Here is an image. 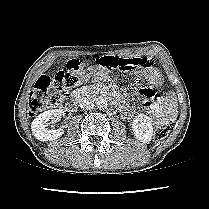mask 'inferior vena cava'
I'll use <instances>...</instances> for the list:
<instances>
[{"label":"inferior vena cava","instance_id":"602c4592","mask_svg":"<svg viewBox=\"0 0 209 209\" xmlns=\"http://www.w3.org/2000/svg\"><path fill=\"white\" fill-rule=\"evenodd\" d=\"M79 106L83 110H90L94 107V100L91 97H82L79 100Z\"/></svg>","mask_w":209,"mask_h":209}]
</instances>
